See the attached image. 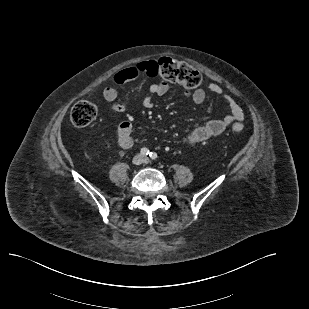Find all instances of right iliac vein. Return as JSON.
I'll return each mask as SVG.
<instances>
[{"label": "right iliac vein", "mask_w": 309, "mask_h": 309, "mask_svg": "<svg viewBox=\"0 0 309 309\" xmlns=\"http://www.w3.org/2000/svg\"><path fill=\"white\" fill-rule=\"evenodd\" d=\"M143 161H144L143 156L140 154L136 155L132 160L134 165H140L143 163Z\"/></svg>", "instance_id": "1"}]
</instances>
